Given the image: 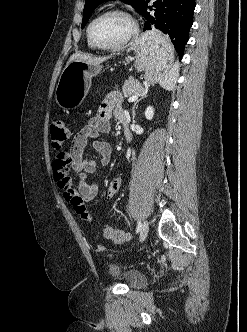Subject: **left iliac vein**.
I'll return each instance as SVG.
<instances>
[{
	"label": "left iliac vein",
	"mask_w": 247,
	"mask_h": 332,
	"mask_svg": "<svg viewBox=\"0 0 247 332\" xmlns=\"http://www.w3.org/2000/svg\"><path fill=\"white\" fill-rule=\"evenodd\" d=\"M148 230H149V224L147 221H144L140 230V241H143L147 237Z\"/></svg>",
	"instance_id": "obj_1"
}]
</instances>
